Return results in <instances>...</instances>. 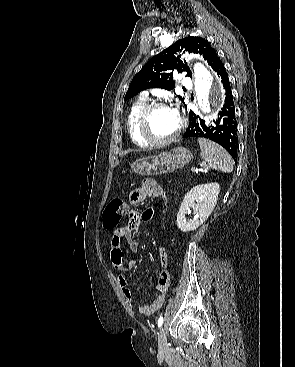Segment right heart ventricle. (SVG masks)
<instances>
[{
  "label": "right heart ventricle",
  "mask_w": 295,
  "mask_h": 367,
  "mask_svg": "<svg viewBox=\"0 0 295 367\" xmlns=\"http://www.w3.org/2000/svg\"><path fill=\"white\" fill-rule=\"evenodd\" d=\"M146 104H147V101L144 98H141L137 100L136 102H134L128 112L127 119H126V125H127V130H128L130 139L132 140V142L135 145L141 148H146L149 146V144L140 137L138 130H137V120H138L139 114Z\"/></svg>",
  "instance_id": "e07e8e85"
}]
</instances>
